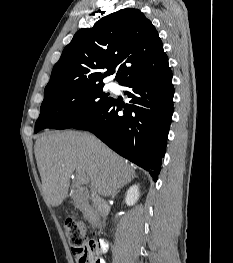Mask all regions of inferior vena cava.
Masks as SVG:
<instances>
[{
	"label": "inferior vena cava",
	"instance_id": "602c4592",
	"mask_svg": "<svg viewBox=\"0 0 233 263\" xmlns=\"http://www.w3.org/2000/svg\"><path fill=\"white\" fill-rule=\"evenodd\" d=\"M93 198H94V204L95 207L98 211V213L100 214V216L103 218V221L106 218V208H107V204L106 202L100 198L96 193H93Z\"/></svg>",
	"mask_w": 233,
	"mask_h": 263
}]
</instances>
